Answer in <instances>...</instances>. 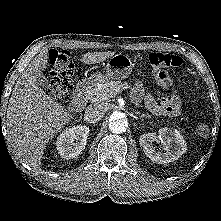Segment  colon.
<instances>
[{
    "label": "colon",
    "mask_w": 221,
    "mask_h": 221,
    "mask_svg": "<svg viewBox=\"0 0 221 221\" xmlns=\"http://www.w3.org/2000/svg\"><path fill=\"white\" fill-rule=\"evenodd\" d=\"M48 61L52 66V71L48 76L49 89L54 97H63L72 88L74 65L71 55L65 50H51L48 53ZM149 63L156 71L157 82L163 87H168L171 83V78L165 68L181 67L184 65V61L180 56L162 52L151 53L149 55ZM197 132L201 136L209 134L210 124L207 119L199 121Z\"/></svg>",
    "instance_id": "colon-1"
}]
</instances>
